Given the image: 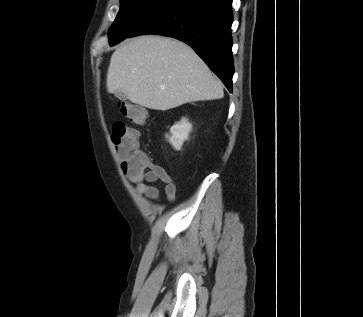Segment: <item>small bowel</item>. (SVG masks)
Wrapping results in <instances>:
<instances>
[{"mask_svg":"<svg viewBox=\"0 0 363 317\" xmlns=\"http://www.w3.org/2000/svg\"><path fill=\"white\" fill-rule=\"evenodd\" d=\"M145 164L142 169L134 170L130 167L123 168L129 182L134 184L138 195H144L151 200H159V189L149 183L161 181L165 185V193L169 201L175 200L176 185L164 168L150 162L144 154Z\"/></svg>","mask_w":363,"mask_h":317,"instance_id":"obj_1","label":"small bowel"}]
</instances>
